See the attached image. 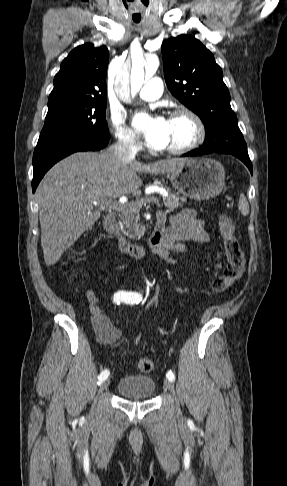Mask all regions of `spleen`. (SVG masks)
I'll return each mask as SVG.
<instances>
[{
    "instance_id": "1",
    "label": "spleen",
    "mask_w": 287,
    "mask_h": 486,
    "mask_svg": "<svg viewBox=\"0 0 287 486\" xmlns=\"http://www.w3.org/2000/svg\"><path fill=\"white\" fill-rule=\"evenodd\" d=\"M238 209L243 216L249 214V204L244 194H241L238 201Z\"/></svg>"
}]
</instances>
